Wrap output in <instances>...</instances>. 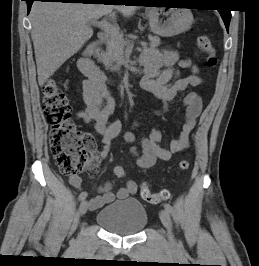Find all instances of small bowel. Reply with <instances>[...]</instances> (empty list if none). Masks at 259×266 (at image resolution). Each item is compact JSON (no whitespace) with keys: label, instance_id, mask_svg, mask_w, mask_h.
<instances>
[{"label":"small bowel","instance_id":"1","mask_svg":"<svg viewBox=\"0 0 259 266\" xmlns=\"http://www.w3.org/2000/svg\"><path fill=\"white\" fill-rule=\"evenodd\" d=\"M141 63L145 70L141 81L142 87L163 102L161 108H150L155 115L168 113L169 102L178 92L204 83L198 67L189 59L179 60L178 55L173 51L144 52L141 55ZM177 66L189 69L191 74L181 78L176 69ZM82 96L84 107L77 112V118L93 124L95 131L102 136L101 150H97L94 146L90 147L89 173L94 175L98 171L101 160L108 155L112 140L120 133L121 124L119 121L109 122V116L114 110V100L106 90L104 77L102 81L88 78L84 82ZM181 107L184 111V124L179 137L168 148L162 147V133L157 127H152L148 135L137 137L135 129L140 123L135 122L132 129L124 133L123 138L132 145L130 151L139 167L150 168L158 159L169 160L174 154L189 147L190 134L203 109L202 99L196 92H189L183 97ZM69 180L73 187L77 189L81 187L82 181L78 175H71ZM136 192L137 184L132 180L117 192L112 191L111 183H106L99 188V195L89 200L88 207L96 210L115 199H125Z\"/></svg>","mask_w":259,"mask_h":266}]
</instances>
